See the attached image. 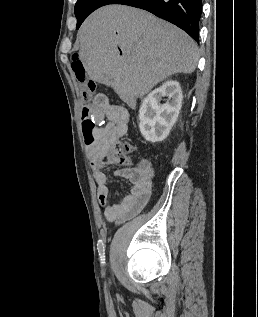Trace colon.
I'll return each instance as SVG.
<instances>
[{
	"mask_svg": "<svg viewBox=\"0 0 258 317\" xmlns=\"http://www.w3.org/2000/svg\"><path fill=\"white\" fill-rule=\"evenodd\" d=\"M72 69L75 73L77 80L80 83L81 93L86 102L91 100L92 94L95 91V83L89 79L86 74L85 67L77 55L72 57ZM86 113L82 117V133L85 143L88 146L97 144L101 136V121L98 116L93 114L89 105ZM134 151V146L128 141H117L114 143L111 151V159L113 163L120 165L130 164L129 155Z\"/></svg>",
	"mask_w": 258,
	"mask_h": 317,
	"instance_id": "obj_1",
	"label": "colon"
}]
</instances>
